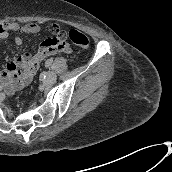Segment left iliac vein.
I'll list each match as a JSON object with an SVG mask.
<instances>
[{
  "instance_id": "obj_1",
  "label": "left iliac vein",
  "mask_w": 172,
  "mask_h": 172,
  "mask_svg": "<svg viewBox=\"0 0 172 172\" xmlns=\"http://www.w3.org/2000/svg\"><path fill=\"white\" fill-rule=\"evenodd\" d=\"M47 81L48 83L52 84L56 81V74L52 71L47 72Z\"/></svg>"
}]
</instances>
